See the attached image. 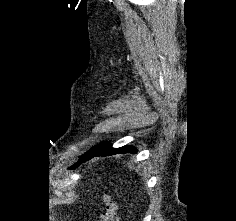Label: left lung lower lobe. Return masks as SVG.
Here are the masks:
<instances>
[{
    "label": "left lung lower lobe",
    "instance_id": "1",
    "mask_svg": "<svg viewBox=\"0 0 236 221\" xmlns=\"http://www.w3.org/2000/svg\"><path fill=\"white\" fill-rule=\"evenodd\" d=\"M136 151L137 150L133 146H125V147L115 149V148H112L109 143L105 142L103 144L94 146L87 153L81 156L75 167H77L80 163L90 160L91 158L96 157V156H107V155H113L117 153L119 154L132 153Z\"/></svg>",
    "mask_w": 236,
    "mask_h": 221
}]
</instances>
